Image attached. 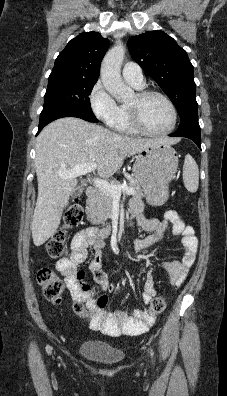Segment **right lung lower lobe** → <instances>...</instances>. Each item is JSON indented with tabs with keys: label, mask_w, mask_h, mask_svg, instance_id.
<instances>
[{
	"label": "right lung lower lobe",
	"mask_w": 227,
	"mask_h": 396,
	"mask_svg": "<svg viewBox=\"0 0 227 396\" xmlns=\"http://www.w3.org/2000/svg\"><path fill=\"white\" fill-rule=\"evenodd\" d=\"M62 117H77L86 121H90L84 114L67 107L53 108L47 111H42L40 114L38 133L50 122Z\"/></svg>",
	"instance_id": "right-lung-lower-lobe-1"
}]
</instances>
